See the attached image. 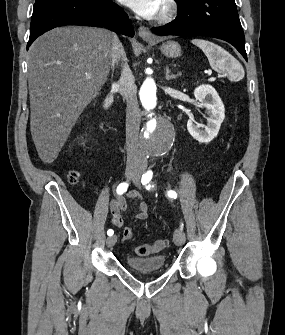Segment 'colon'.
<instances>
[{
  "label": "colon",
  "mask_w": 285,
  "mask_h": 335,
  "mask_svg": "<svg viewBox=\"0 0 285 335\" xmlns=\"http://www.w3.org/2000/svg\"><path fill=\"white\" fill-rule=\"evenodd\" d=\"M79 179V175L75 171H71L68 174V180L71 183H76ZM133 237V230L130 227H126L123 231V240L129 241ZM168 246V241L165 239H159L152 244H142L135 248V253L138 256H147L152 253H158Z\"/></svg>",
  "instance_id": "5ec220e1"
}]
</instances>
